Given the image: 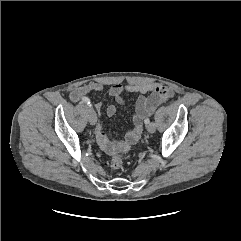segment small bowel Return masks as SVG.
<instances>
[{
  "mask_svg": "<svg viewBox=\"0 0 241 241\" xmlns=\"http://www.w3.org/2000/svg\"><path fill=\"white\" fill-rule=\"evenodd\" d=\"M103 85L99 83H90L87 85L74 88L70 93V100L78 102L83 97L92 91H102ZM124 93H139L140 96L136 102L135 113L133 115V127L129 130L123 139H111L104 131L101 124L95 127V137L100 148L108 155H113L117 152L123 151L125 148L135 144L142 132L143 120L146 116L150 115L153 110L162 102L168 100L173 96V90L166 85L159 83L133 85V84H115L108 89V94L113 97L120 105L125 104L123 98ZM146 94H150L146 96ZM102 104L97 102L95 108L100 113ZM117 108L115 105H108L106 114L114 116Z\"/></svg>",
  "mask_w": 241,
  "mask_h": 241,
  "instance_id": "1",
  "label": "small bowel"
}]
</instances>
